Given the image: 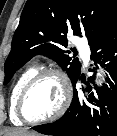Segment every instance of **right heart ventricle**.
Returning a JSON list of instances; mask_svg holds the SVG:
<instances>
[{"instance_id": "right-heart-ventricle-1", "label": "right heart ventricle", "mask_w": 117, "mask_h": 136, "mask_svg": "<svg viewBox=\"0 0 117 136\" xmlns=\"http://www.w3.org/2000/svg\"><path fill=\"white\" fill-rule=\"evenodd\" d=\"M38 67L37 65H32L25 69L14 82L11 93H10V101H9V113L10 119L15 125H22V121L16 115V106L18 102V98L21 90L25 86V84L33 77L34 74L37 73Z\"/></svg>"}]
</instances>
